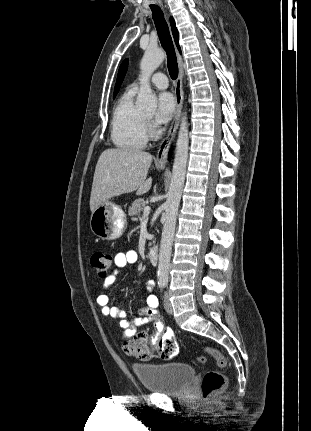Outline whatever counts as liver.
Masks as SVG:
<instances>
[{
	"label": "liver",
	"instance_id": "6515ba94",
	"mask_svg": "<svg viewBox=\"0 0 311 431\" xmlns=\"http://www.w3.org/2000/svg\"><path fill=\"white\" fill-rule=\"evenodd\" d=\"M153 156L138 148L104 150L95 168L90 196V210L94 212L103 202L121 194L136 192L143 196L151 190L152 178H147Z\"/></svg>",
	"mask_w": 311,
	"mask_h": 431
}]
</instances>
